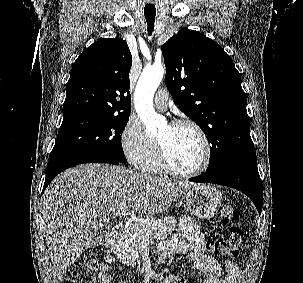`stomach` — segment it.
<instances>
[{
    "label": "stomach",
    "instance_id": "1",
    "mask_svg": "<svg viewBox=\"0 0 303 283\" xmlns=\"http://www.w3.org/2000/svg\"><path fill=\"white\" fill-rule=\"evenodd\" d=\"M222 202L220 191L209 185H198L186 193V208L200 219L212 218Z\"/></svg>",
    "mask_w": 303,
    "mask_h": 283
}]
</instances>
